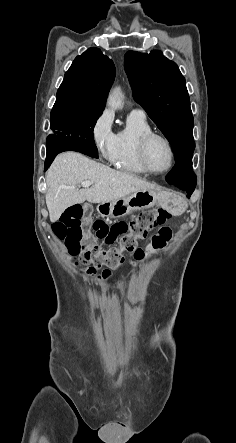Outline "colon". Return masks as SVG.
Returning <instances> with one entry per match:
<instances>
[{
  "label": "colon",
  "instance_id": "colon-1",
  "mask_svg": "<svg viewBox=\"0 0 236 443\" xmlns=\"http://www.w3.org/2000/svg\"><path fill=\"white\" fill-rule=\"evenodd\" d=\"M170 218V213L158 207L138 214L132 220L116 222L108 225L104 221L90 220L89 208L82 204H74L64 210L53 226L55 236L65 243L68 253L82 263L105 267L101 278L107 280L111 270L118 268L124 261V253L135 250L138 239L157 226L163 225ZM161 235L168 239L171 230L163 227ZM97 240L111 244L118 241V246L102 249ZM144 251H135L133 264H137ZM93 268V267H92Z\"/></svg>",
  "mask_w": 236,
  "mask_h": 443
}]
</instances>
